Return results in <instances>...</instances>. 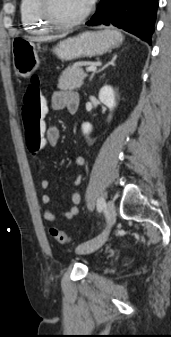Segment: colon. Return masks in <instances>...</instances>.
Here are the masks:
<instances>
[{
    "instance_id": "5ec220e1",
    "label": "colon",
    "mask_w": 171,
    "mask_h": 337,
    "mask_svg": "<svg viewBox=\"0 0 171 337\" xmlns=\"http://www.w3.org/2000/svg\"><path fill=\"white\" fill-rule=\"evenodd\" d=\"M47 95L41 93L40 80L38 76H33L23 95L22 117L27 149L35 154L44 147V126L45 118L49 115ZM50 234L58 243L67 244L70 242L69 236L62 230L51 228Z\"/></svg>"
}]
</instances>
